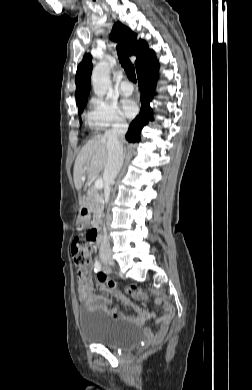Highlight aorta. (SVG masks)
Here are the masks:
<instances>
[{"instance_id":"1","label":"aorta","mask_w":252,"mask_h":390,"mask_svg":"<svg viewBox=\"0 0 252 390\" xmlns=\"http://www.w3.org/2000/svg\"><path fill=\"white\" fill-rule=\"evenodd\" d=\"M92 86L95 95L103 97L111 88L110 65L106 61L99 62L92 72Z\"/></svg>"}]
</instances>
